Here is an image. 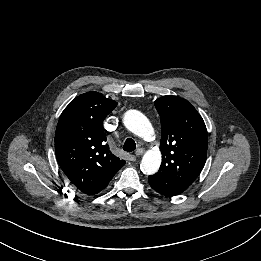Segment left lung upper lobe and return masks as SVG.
<instances>
[{
	"label": "left lung upper lobe",
	"mask_w": 261,
	"mask_h": 261,
	"mask_svg": "<svg viewBox=\"0 0 261 261\" xmlns=\"http://www.w3.org/2000/svg\"><path fill=\"white\" fill-rule=\"evenodd\" d=\"M160 115L162 164L149 176L169 196L184 192L202 171L207 156V130L196 109L185 99L163 96L155 101Z\"/></svg>",
	"instance_id": "obj_1"
}]
</instances>
